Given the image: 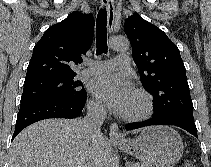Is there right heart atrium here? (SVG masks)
I'll return each mask as SVG.
<instances>
[{"mask_svg":"<svg viewBox=\"0 0 211 167\" xmlns=\"http://www.w3.org/2000/svg\"><path fill=\"white\" fill-rule=\"evenodd\" d=\"M90 107L95 111V112H102L103 108L102 106L95 100L90 101Z\"/></svg>","mask_w":211,"mask_h":167,"instance_id":"right-heart-atrium-1","label":"right heart atrium"}]
</instances>
